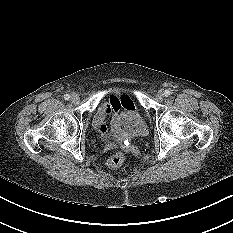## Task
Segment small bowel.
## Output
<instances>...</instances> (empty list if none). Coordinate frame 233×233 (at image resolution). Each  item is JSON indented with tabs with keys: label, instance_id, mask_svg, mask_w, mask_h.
Instances as JSON below:
<instances>
[{
	"label": "small bowel",
	"instance_id": "obj_1",
	"mask_svg": "<svg viewBox=\"0 0 233 233\" xmlns=\"http://www.w3.org/2000/svg\"><path fill=\"white\" fill-rule=\"evenodd\" d=\"M129 111L135 110L132 99L124 93H113L108 100L104 101L97 109L93 124L95 128L104 134L107 130V122L112 118V122L118 116V112L122 109ZM112 146V144H110Z\"/></svg>",
	"mask_w": 233,
	"mask_h": 233
}]
</instances>
